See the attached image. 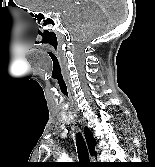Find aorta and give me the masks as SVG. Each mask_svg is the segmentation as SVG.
<instances>
[{
	"label": "aorta",
	"mask_w": 155,
	"mask_h": 167,
	"mask_svg": "<svg viewBox=\"0 0 155 167\" xmlns=\"http://www.w3.org/2000/svg\"><path fill=\"white\" fill-rule=\"evenodd\" d=\"M60 160H62V161H67V160H70L68 157H66V156H62L61 158H60Z\"/></svg>",
	"instance_id": "obj_1"
}]
</instances>
